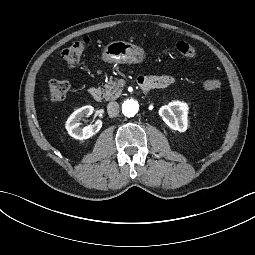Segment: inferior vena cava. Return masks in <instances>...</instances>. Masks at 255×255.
Listing matches in <instances>:
<instances>
[{
    "mask_svg": "<svg viewBox=\"0 0 255 255\" xmlns=\"http://www.w3.org/2000/svg\"><path fill=\"white\" fill-rule=\"evenodd\" d=\"M107 112L109 117H116L119 114V104L115 101L109 102Z\"/></svg>",
    "mask_w": 255,
    "mask_h": 255,
    "instance_id": "602c4592",
    "label": "inferior vena cava"
}]
</instances>
